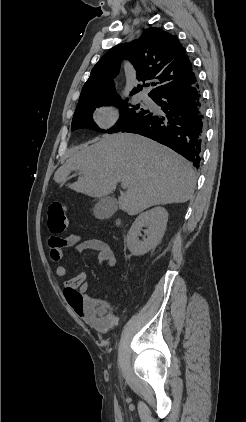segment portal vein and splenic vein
I'll use <instances>...</instances> for the list:
<instances>
[{
	"mask_svg": "<svg viewBox=\"0 0 246 422\" xmlns=\"http://www.w3.org/2000/svg\"><path fill=\"white\" fill-rule=\"evenodd\" d=\"M121 186H122L123 188H125V184H124V183H121Z\"/></svg>",
	"mask_w": 246,
	"mask_h": 422,
	"instance_id": "obj_1",
	"label": "portal vein and splenic vein"
}]
</instances>
